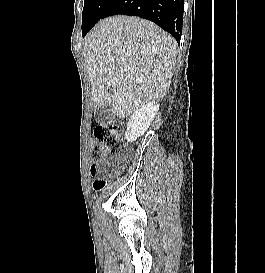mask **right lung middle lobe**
<instances>
[{
  "label": "right lung middle lobe",
  "mask_w": 265,
  "mask_h": 273,
  "mask_svg": "<svg viewBox=\"0 0 265 273\" xmlns=\"http://www.w3.org/2000/svg\"><path fill=\"white\" fill-rule=\"evenodd\" d=\"M115 0H84L82 13V34L87 33L100 19Z\"/></svg>",
  "instance_id": "obj_1"
}]
</instances>
